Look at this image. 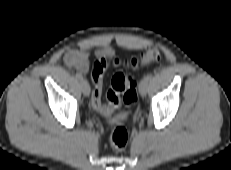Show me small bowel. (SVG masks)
I'll return each mask as SVG.
<instances>
[{
  "instance_id": "1",
  "label": "small bowel",
  "mask_w": 231,
  "mask_h": 170,
  "mask_svg": "<svg viewBox=\"0 0 231 170\" xmlns=\"http://www.w3.org/2000/svg\"><path fill=\"white\" fill-rule=\"evenodd\" d=\"M115 54L114 49L106 45L97 50L94 55L99 58H111ZM92 53L86 47L73 48L67 50L63 55V62L70 68H73L81 75L89 71L90 58Z\"/></svg>"
}]
</instances>
